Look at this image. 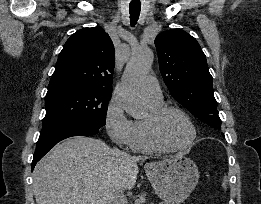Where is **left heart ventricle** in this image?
<instances>
[{"label":"left heart ventricle","instance_id":"1","mask_svg":"<svg viewBox=\"0 0 261 204\" xmlns=\"http://www.w3.org/2000/svg\"><path fill=\"white\" fill-rule=\"evenodd\" d=\"M164 137L173 145H185L192 137V130L184 117L178 113L168 114L162 123Z\"/></svg>","mask_w":261,"mask_h":204}]
</instances>
